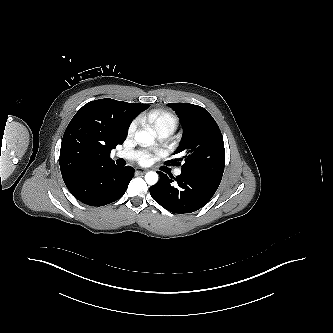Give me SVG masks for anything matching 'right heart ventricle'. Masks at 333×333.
Here are the masks:
<instances>
[{"label":"right heart ventricle","mask_w":333,"mask_h":333,"mask_svg":"<svg viewBox=\"0 0 333 333\" xmlns=\"http://www.w3.org/2000/svg\"><path fill=\"white\" fill-rule=\"evenodd\" d=\"M147 119L157 132L164 129L174 131L178 124V119L175 114L162 109L151 111L147 115Z\"/></svg>","instance_id":"1"}]
</instances>
